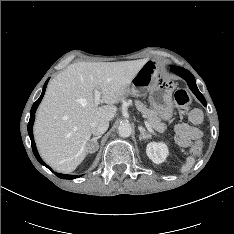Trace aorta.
Instances as JSON below:
<instances>
[{
	"mask_svg": "<svg viewBox=\"0 0 234 234\" xmlns=\"http://www.w3.org/2000/svg\"><path fill=\"white\" fill-rule=\"evenodd\" d=\"M132 133V127L129 123L124 122L118 126V134L121 137H129Z\"/></svg>",
	"mask_w": 234,
	"mask_h": 234,
	"instance_id": "obj_1",
	"label": "aorta"
}]
</instances>
